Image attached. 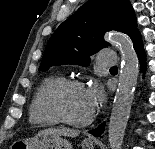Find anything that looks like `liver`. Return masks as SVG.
Segmentation results:
<instances>
[{
	"mask_svg": "<svg viewBox=\"0 0 155 149\" xmlns=\"http://www.w3.org/2000/svg\"><path fill=\"white\" fill-rule=\"evenodd\" d=\"M38 134H53L67 137H77L80 134L79 130L62 128V129H45L40 131Z\"/></svg>",
	"mask_w": 155,
	"mask_h": 149,
	"instance_id": "1",
	"label": "liver"
}]
</instances>
